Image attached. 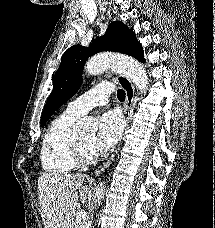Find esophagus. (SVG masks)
Here are the masks:
<instances>
[{"label": "esophagus", "instance_id": "34e87169", "mask_svg": "<svg viewBox=\"0 0 215 228\" xmlns=\"http://www.w3.org/2000/svg\"><path fill=\"white\" fill-rule=\"evenodd\" d=\"M115 78H116L117 82L119 83V85L121 86V88H123V90L126 93V100H125V104H124V114H125L126 122L128 125L129 121H130V113H131V110L133 107L135 90H134L131 80L127 76L119 74V75H116ZM113 158H114V156L109 158V160L106 161L103 166H101V168L98 170V172L106 170V168L113 161Z\"/></svg>", "mask_w": 215, "mask_h": 228}]
</instances>
